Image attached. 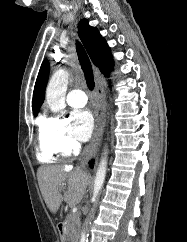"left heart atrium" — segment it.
I'll return each mask as SVG.
<instances>
[{
  "instance_id": "left-heart-atrium-1",
  "label": "left heart atrium",
  "mask_w": 187,
  "mask_h": 242,
  "mask_svg": "<svg viewBox=\"0 0 187 242\" xmlns=\"http://www.w3.org/2000/svg\"><path fill=\"white\" fill-rule=\"evenodd\" d=\"M71 121L74 136L81 141L88 140L94 129L93 114L87 109L75 110L71 114Z\"/></svg>"
}]
</instances>
